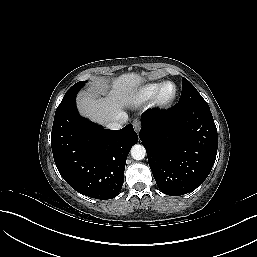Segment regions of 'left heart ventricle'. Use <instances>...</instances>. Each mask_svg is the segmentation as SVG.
Instances as JSON below:
<instances>
[{"label":"left heart ventricle","instance_id":"obj_1","mask_svg":"<svg viewBox=\"0 0 257 257\" xmlns=\"http://www.w3.org/2000/svg\"><path fill=\"white\" fill-rule=\"evenodd\" d=\"M172 92H173V88L168 87L167 90H166V93L169 95V94H172Z\"/></svg>","mask_w":257,"mask_h":257}]
</instances>
